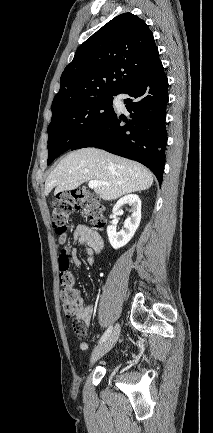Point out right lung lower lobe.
Returning <instances> with one entry per match:
<instances>
[{"label": "right lung lower lobe", "instance_id": "98d812e1", "mask_svg": "<svg viewBox=\"0 0 213 433\" xmlns=\"http://www.w3.org/2000/svg\"><path fill=\"white\" fill-rule=\"evenodd\" d=\"M167 88L168 79L158 58L122 92L130 96L124 100L130 119L114 113L101 129L69 150L96 147L136 160L147 166L161 184L167 145Z\"/></svg>", "mask_w": 213, "mask_h": 433}]
</instances>
